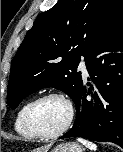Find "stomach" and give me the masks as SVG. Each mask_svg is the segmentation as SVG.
I'll list each match as a JSON object with an SVG mask.
<instances>
[{"mask_svg": "<svg viewBox=\"0 0 123 152\" xmlns=\"http://www.w3.org/2000/svg\"><path fill=\"white\" fill-rule=\"evenodd\" d=\"M84 148L81 147L78 143L76 142H71V143H63L55 148H53L50 152H84Z\"/></svg>", "mask_w": 123, "mask_h": 152, "instance_id": "stomach-1", "label": "stomach"}]
</instances>
